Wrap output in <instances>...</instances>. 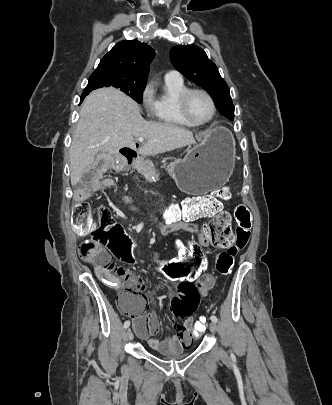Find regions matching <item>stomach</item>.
Here are the masks:
<instances>
[{"label": "stomach", "mask_w": 332, "mask_h": 405, "mask_svg": "<svg viewBox=\"0 0 332 405\" xmlns=\"http://www.w3.org/2000/svg\"><path fill=\"white\" fill-rule=\"evenodd\" d=\"M235 166V141L223 126L211 130L201 144L190 149L185 158L164 164L178 187L187 194L200 195L220 189Z\"/></svg>", "instance_id": "stomach-1"}]
</instances>
